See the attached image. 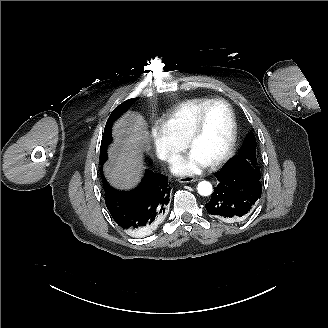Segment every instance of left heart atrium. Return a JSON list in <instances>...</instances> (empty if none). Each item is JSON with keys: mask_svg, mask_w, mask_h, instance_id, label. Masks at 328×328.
I'll return each mask as SVG.
<instances>
[{"mask_svg": "<svg viewBox=\"0 0 328 328\" xmlns=\"http://www.w3.org/2000/svg\"><path fill=\"white\" fill-rule=\"evenodd\" d=\"M209 165V161L196 150L190 149L171 165V170L177 175H189L202 172Z\"/></svg>", "mask_w": 328, "mask_h": 328, "instance_id": "obj_1", "label": "left heart atrium"}]
</instances>
